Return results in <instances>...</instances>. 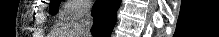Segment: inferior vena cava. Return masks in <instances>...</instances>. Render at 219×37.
<instances>
[{
  "label": "inferior vena cava",
  "instance_id": "602c4592",
  "mask_svg": "<svg viewBox=\"0 0 219 37\" xmlns=\"http://www.w3.org/2000/svg\"><path fill=\"white\" fill-rule=\"evenodd\" d=\"M93 24V16L90 8L85 10L84 16L78 25L77 36L79 37H91V27Z\"/></svg>",
  "mask_w": 219,
  "mask_h": 37
}]
</instances>
